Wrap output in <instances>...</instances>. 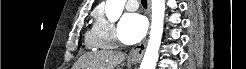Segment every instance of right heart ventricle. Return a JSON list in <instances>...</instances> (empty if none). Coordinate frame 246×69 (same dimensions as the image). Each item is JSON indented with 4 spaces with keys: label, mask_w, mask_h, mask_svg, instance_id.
I'll list each match as a JSON object with an SVG mask.
<instances>
[{
    "label": "right heart ventricle",
    "mask_w": 246,
    "mask_h": 69,
    "mask_svg": "<svg viewBox=\"0 0 246 69\" xmlns=\"http://www.w3.org/2000/svg\"><path fill=\"white\" fill-rule=\"evenodd\" d=\"M85 40H86V45L89 48H100V49L106 48V47H98L97 46V37H96L94 29H92L86 33Z\"/></svg>",
    "instance_id": "1"
}]
</instances>
